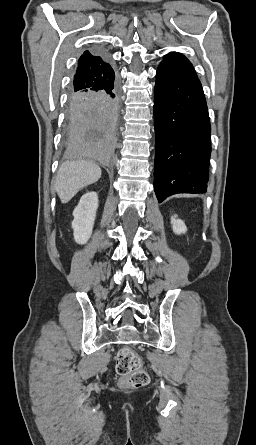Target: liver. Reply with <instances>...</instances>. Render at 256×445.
<instances>
[{"mask_svg":"<svg viewBox=\"0 0 256 445\" xmlns=\"http://www.w3.org/2000/svg\"><path fill=\"white\" fill-rule=\"evenodd\" d=\"M101 177V168L92 161H66L58 170L54 184L62 203L69 202L77 192L98 181Z\"/></svg>","mask_w":256,"mask_h":445,"instance_id":"liver-1","label":"liver"}]
</instances>
